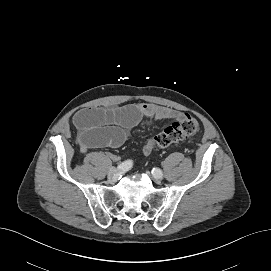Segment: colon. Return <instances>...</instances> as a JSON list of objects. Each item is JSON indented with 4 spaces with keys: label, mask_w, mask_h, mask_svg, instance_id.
I'll use <instances>...</instances> for the list:
<instances>
[{
    "label": "colon",
    "mask_w": 271,
    "mask_h": 271,
    "mask_svg": "<svg viewBox=\"0 0 271 271\" xmlns=\"http://www.w3.org/2000/svg\"><path fill=\"white\" fill-rule=\"evenodd\" d=\"M198 128L196 119L189 114H184L181 119L172 123L149 141L151 150L166 148L171 144L182 141L195 134Z\"/></svg>",
    "instance_id": "1"
}]
</instances>
